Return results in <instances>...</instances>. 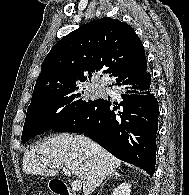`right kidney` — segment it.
<instances>
[{
  "instance_id": "obj_1",
  "label": "right kidney",
  "mask_w": 189,
  "mask_h": 195,
  "mask_svg": "<svg viewBox=\"0 0 189 195\" xmlns=\"http://www.w3.org/2000/svg\"><path fill=\"white\" fill-rule=\"evenodd\" d=\"M131 185L124 182L113 190L112 195H130Z\"/></svg>"
}]
</instances>
